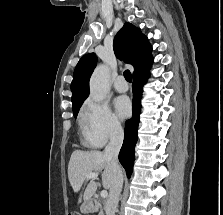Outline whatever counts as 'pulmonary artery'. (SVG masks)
<instances>
[{
  "label": "pulmonary artery",
  "mask_w": 223,
  "mask_h": 215,
  "mask_svg": "<svg viewBox=\"0 0 223 215\" xmlns=\"http://www.w3.org/2000/svg\"><path fill=\"white\" fill-rule=\"evenodd\" d=\"M114 88L118 91V92H126L129 88L128 83L126 82V80L119 76L115 81H114Z\"/></svg>",
  "instance_id": "1"
}]
</instances>
